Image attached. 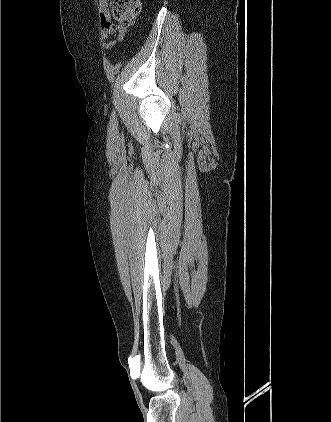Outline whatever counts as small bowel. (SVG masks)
I'll list each match as a JSON object with an SVG mask.
<instances>
[{"label":"small bowel","mask_w":331,"mask_h":422,"mask_svg":"<svg viewBox=\"0 0 331 422\" xmlns=\"http://www.w3.org/2000/svg\"><path fill=\"white\" fill-rule=\"evenodd\" d=\"M99 17L103 27L101 40L106 50H111L119 43H121L125 36L127 29L121 24H116L111 20V14L108 6V0H100L99 3ZM108 37H114L115 40L107 42Z\"/></svg>","instance_id":"1"}]
</instances>
